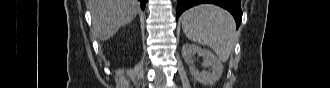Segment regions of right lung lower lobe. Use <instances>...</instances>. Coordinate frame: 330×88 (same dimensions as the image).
Listing matches in <instances>:
<instances>
[{"mask_svg":"<svg viewBox=\"0 0 330 88\" xmlns=\"http://www.w3.org/2000/svg\"><path fill=\"white\" fill-rule=\"evenodd\" d=\"M139 1H140L141 8L144 9L147 0H139Z\"/></svg>","mask_w":330,"mask_h":88,"instance_id":"98d812e1","label":"right lung lower lobe"}]
</instances>
